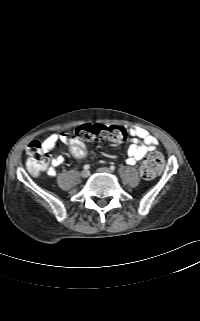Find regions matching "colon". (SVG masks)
<instances>
[{
  "mask_svg": "<svg viewBox=\"0 0 200 321\" xmlns=\"http://www.w3.org/2000/svg\"><path fill=\"white\" fill-rule=\"evenodd\" d=\"M128 138L127 130L122 126H109L102 124H86L78 127L75 135L65 139L64 145L77 161H85L88 158L87 147L84 141L105 140L121 143ZM27 167L32 174H38L47 166L49 155L44 150L40 141H32L27 148ZM164 166L163 156L156 151L151 152L144 159L140 167V173L145 179H153L158 176Z\"/></svg>",
  "mask_w": 200,
  "mask_h": 321,
  "instance_id": "5ec220e1",
  "label": "colon"
}]
</instances>
